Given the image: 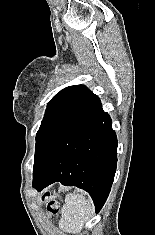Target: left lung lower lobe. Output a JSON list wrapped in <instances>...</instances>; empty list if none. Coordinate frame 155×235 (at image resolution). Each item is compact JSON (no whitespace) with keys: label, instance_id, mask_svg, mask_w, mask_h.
Returning a JSON list of instances; mask_svg holds the SVG:
<instances>
[{"label":"left lung lower lobe","instance_id":"0a47b994","mask_svg":"<svg viewBox=\"0 0 155 235\" xmlns=\"http://www.w3.org/2000/svg\"><path fill=\"white\" fill-rule=\"evenodd\" d=\"M101 103L53 150L33 175L38 191L54 182L76 186L92 197L100 211L110 193L117 165V137Z\"/></svg>","mask_w":155,"mask_h":235}]
</instances>
